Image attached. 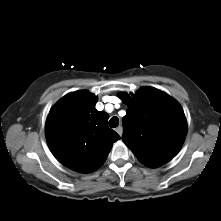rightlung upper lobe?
Here are the masks:
<instances>
[{
    "instance_id": "right-lung-upper-lobe-1",
    "label": "right lung upper lobe",
    "mask_w": 221,
    "mask_h": 221,
    "mask_svg": "<svg viewBox=\"0 0 221 221\" xmlns=\"http://www.w3.org/2000/svg\"><path fill=\"white\" fill-rule=\"evenodd\" d=\"M98 98L87 91L69 93L50 110L45 133L49 148L66 167L81 173L97 170L120 136L107 126L109 115L97 111Z\"/></svg>"
}]
</instances>
